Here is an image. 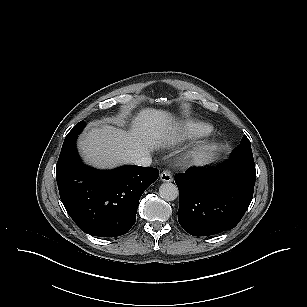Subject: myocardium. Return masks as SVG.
<instances>
[{"instance_id": "obj_1", "label": "myocardium", "mask_w": 307, "mask_h": 307, "mask_svg": "<svg viewBox=\"0 0 307 307\" xmlns=\"http://www.w3.org/2000/svg\"><path fill=\"white\" fill-rule=\"evenodd\" d=\"M215 149L216 146L213 142H203L193 150H189L185 155V159L188 161L202 159L212 153Z\"/></svg>"}]
</instances>
